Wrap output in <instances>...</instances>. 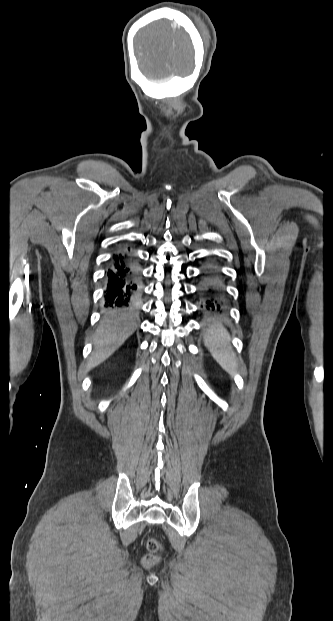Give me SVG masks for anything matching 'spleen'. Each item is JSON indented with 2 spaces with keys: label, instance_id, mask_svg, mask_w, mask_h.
I'll return each instance as SVG.
<instances>
[{
  "label": "spleen",
  "instance_id": "1",
  "mask_svg": "<svg viewBox=\"0 0 333 621\" xmlns=\"http://www.w3.org/2000/svg\"><path fill=\"white\" fill-rule=\"evenodd\" d=\"M204 344L212 357L228 373L237 372L236 354L230 344V336L227 330L218 323H214L203 335Z\"/></svg>",
  "mask_w": 333,
  "mask_h": 621
}]
</instances>
